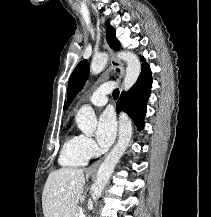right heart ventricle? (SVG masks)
Instances as JSON below:
<instances>
[{
	"label": "right heart ventricle",
	"instance_id": "1",
	"mask_svg": "<svg viewBox=\"0 0 211 217\" xmlns=\"http://www.w3.org/2000/svg\"><path fill=\"white\" fill-rule=\"evenodd\" d=\"M89 156L82 147L81 135H70L65 140L61 154L60 163L66 167H79L85 165Z\"/></svg>",
	"mask_w": 211,
	"mask_h": 217
}]
</instances>
